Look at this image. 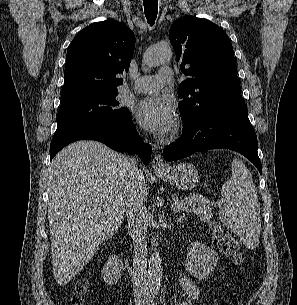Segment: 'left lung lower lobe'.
Here are the masks:
<instances>
[{"label":"left lung lower lobe","mask_w":297,"mask_h":305,"mask_svg":"<svg viewBox=\"0 0 297 305\" xmlns=\"http://www.w3.org/2000/svg\"><path fill=\"white\" fill-rule=\"evenodd\" d=\"M182 122V135L163 151L165 160L209 149H231L248 158L261 174L257 137L241 94L211 104L199 114L182 118Z\"/></svg>","instance_id":"1"}]
</instances>
